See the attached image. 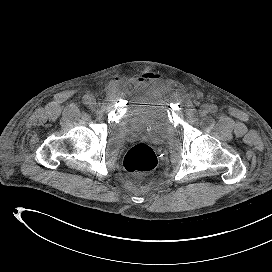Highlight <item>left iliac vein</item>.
<instances>
[{"label":"left iliac vein","instance_id":"obj_1","mask_svg":"<svg viewBox=\"0 0 272 272\" xmlns=\"http://www.w3.org/2000/svg\"><path fill=\"white\" fill-rule=\"evenodd\" d=\"M208 107L207 106H202V108L200 109V116H205L208 113Z\"/></svg>","mask_w":272,"mask_h":272}]
</instances>
